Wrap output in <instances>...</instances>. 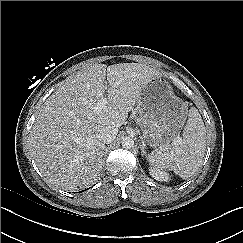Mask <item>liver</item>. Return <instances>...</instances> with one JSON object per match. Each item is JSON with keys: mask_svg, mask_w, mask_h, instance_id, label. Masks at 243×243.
I'll return each mask as SVG.
<instances>
[{"mask_svg": "<svg viewBox=\"0 0 243 243\" xmlns=\"http://www.w3.org/2000/svg\"><path fill=\"white\" fill-rule=\"evenodd\" d=\"M158 75L146 64L120 63L94 64L70 76L45 101L31 130L41 173L66 191L90 186L102 169L103 130L123 125L142 88ZM105 92L108 103L94 111Z\"/></svg>", "mask_w": 243, "mask_h": 243, "instance_id": "1", "label": "liver"}]
</instances>
